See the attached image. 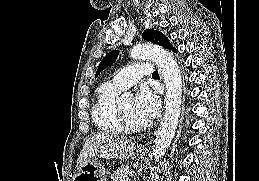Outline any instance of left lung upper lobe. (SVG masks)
Returning <instances> with one entry per match:
<instances>
[{"instance_id": "obj_1", "label": "left lung upper lobe", "mask_w": 259, "mask_h": 181, "mask_svg": "<svg viewBox=\"0 0 259 181\" xmlns=\"http://www.w3.org/2000/svg\"><path fill=\"white\" fill-rule=\"evenodd\" d=\"M142 37L147 41L161 45L165 48L169 49L171 47V44L169 43V40L167 39V37L157 30L147 29L143 32ZM118 54L119 52L116 50L108 53L100 62L95 77H97L98 74L102 70H104L107 66L112 64L117 59Z\"/></svg>"}]
</instances>
